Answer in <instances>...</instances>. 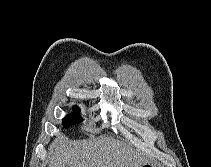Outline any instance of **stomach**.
Instances as JSON below:
<instances>
[{"label": "stomach", "instance_id": "0dacf381", "mask_svg": "<svg viewBox=\"0 0 211 167\" xmlns=\"http://www.w3.org/2000/svg\"><path fill=\"white\" fill-rule=\"evenodd\" d=\"M140 167H158L156 163L153 162H145Z\"/></svg>", "mask_w": 211, "mask_h": 167}]
</instances>
